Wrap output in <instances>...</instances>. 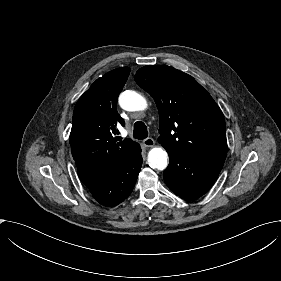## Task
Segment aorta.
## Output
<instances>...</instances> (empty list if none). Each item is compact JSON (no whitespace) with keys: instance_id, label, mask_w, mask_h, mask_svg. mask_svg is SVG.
Segmentation results:
<instances>
[{"instance_id":"1","label":"aorta","mask_w":281,"mask_h":281,"mask_svg":"<svg viewBox=\"0 0 281 281\" xmlns=\"http://www.w3.org/2000/svg\"><path fill=\"white\" fill-rule=\"evenodd\" d=\"M118 102L126 111H143L147 108L146 99L136 91H124ZM147 161L151 168L164 170L168 165V154L162 147H154L149 151Z\"/></svg>"}]
</instances>
